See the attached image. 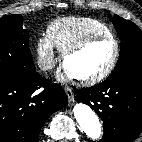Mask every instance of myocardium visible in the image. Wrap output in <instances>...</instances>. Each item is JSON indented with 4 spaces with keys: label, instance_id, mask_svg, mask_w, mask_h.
I'll return each mask as SVG.
<instances>
[{
    "label": "myocardium",
    "instance_id": "obj_1",
    "mask_svg": "<svg viewBox=\"0 0 142 142\" xmlns=\"http://www.w3.org/2000/svg\"><path fill=\"white\" fill-rule=\"evenodd\" d=\"M98 40H111L113 42L114 44L113 58L108 64V66L96 75L85 77V78L74 77L82 85L90 86V85L98 84L102 82L103 80H105L113 72L120 57L119 41L113 34H93L81 39L80 41L71 45L70 47H68L66 50L62 52L61 62L65 68V62L69 56L82 51L87 46H89L90 44Z\"/></svg>",
    "mask_w": 142,
    "mask_h": 142
}]
</instances>
